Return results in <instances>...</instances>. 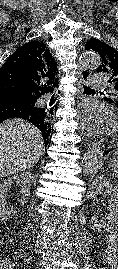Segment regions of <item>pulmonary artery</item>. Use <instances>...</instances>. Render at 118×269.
Returning a JSON list of instances; mask_svg holds the SVG:
<instances>
[{
    "instance_id": "obj_1",
    "label": "pulmonary artery",
    "mask_w": 118,
    "mask_h": 269,
    "mask_svg": "<svg viewBox=\"0 0 118 269\" xmlns=\"http://www.w3.org/2000/svg\"><path fill=\"white\" fill-rule=\"evenodd\" d=\"M88 84L94 89H102L105 86V80L96 75L89 79Z\"/></svg>"
}]
</instances>
